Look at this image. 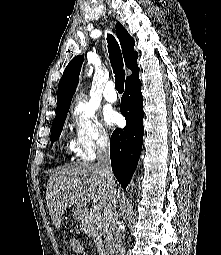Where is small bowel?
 <instances>
[{"label": "small bowel", "instance_id": "obj_1", "mask_svg": "<svg viewBox=\"0 0 221 255\" xmlns=\"http://www.w3.org/2000/svg\"><path fill=\"white\" fill-rule=\"evenodd\" d=\"M69 246L76 255H86L85 248L78 239L74 237L70 238Z\"/></svg>", "mask_w": 221, "mask_h": 255}]
</instances>
